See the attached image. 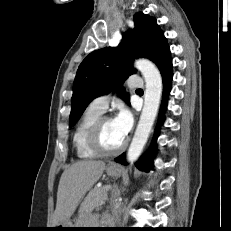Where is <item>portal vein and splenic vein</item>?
I'll list each match as a JSON object with an SVG mask.
<instances>
[{"label":"portal vein and splenic vein","instance_id":"portal-vein-and-splenic-vein-1","mask_svg":"<svg viewBox=\"0 0 231 231\" xmlns=\"http://www.w3.org/2000/svg\"><path fill=\"white\" fill-rule=\"evenodd\" d=\"M112 187L110 185L106 186V190L109 191Z\"/></svg>","mask_w":231,"mask_h":231}]
</instances>
